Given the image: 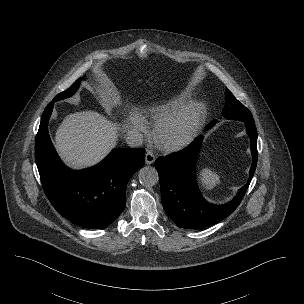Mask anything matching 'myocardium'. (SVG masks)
Instances as JSON below:
<instances>
[{"mask_svg": "<svg viewBox=\"0 0 304 304\" xmlns=\"http://www.w3.org/2000/svg\"><path fill=\"white\" fill-rule=\"evenodd\" d=\"M206 116V108L200 102L186 104L175 113L158 121L154 139L163 149L173 151L189 144L198 134Z\"/></svg>", "mask_w": 304, "mask_h": 304, "instance_id": "obj_1", "label": "myocardium"}]
</instances>
